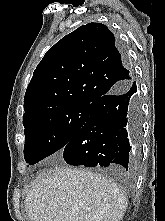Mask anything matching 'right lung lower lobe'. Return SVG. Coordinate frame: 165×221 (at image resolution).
<instances>
[{"label":"right lung lower lobe","mask_w":165,"mask_h":221,"mask_svg":"<svg viewBox=\"0 0 165 221\" xmlns=\"http://www.w3.org/2000/svg\"><path fill=\"white\" fill-rule=\"evenodd\" d=\"M141 106L135 81L126 83L91 104L89 119L63 148L71 165L134 169L133 153L141 140Z\"/></svg>","instance_id":"right-lung-lower-lobe-1"}]
</instances>
